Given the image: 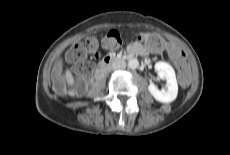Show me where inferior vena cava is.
I'll return each mask as SVG.
<instances>
[{
	"label": "inferior vena cava",
	"mask_w": 230,
	"mask_h": 155,
	"mask_svg": "<svg viewBox=\"0 0 230 155\" xmlns=\"http://www.w3.org/2000/svg\"><path fill=\"white\" fill-rule=\"evenodd\" d=\"M126 67V63L124 60H118L116 63L112 65L113 70L124 69Z\"/></svg>",
	"instance_id": "inferior-vena-cava-1"
}]
</instances>
